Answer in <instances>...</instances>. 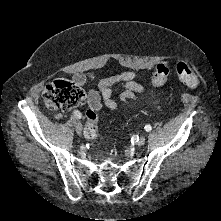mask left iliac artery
<instances>
[{
	"label": "left iliac artery",
	"instance_id": "1",
	"mask_svg": "<svg viewBox=\"0 0 221 221\" xmlns=\"http://www.w3.org/2000/svg\"><path fill=\"white\" fill-rule=\"evenodd\" d=\"M144 129H145L146 132H149V131H151L152 127L150 125H146L144 127Z\"/></svg>",
	"mask_w": 221,
	"mask_h": 221
}]
</instances>
